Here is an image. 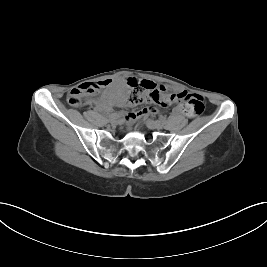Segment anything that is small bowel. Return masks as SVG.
<instances>
[{"label": "small bowel", "mask_w": 267, "mask_h": 267, "mask_svg": "<svg viewBox=\"0 0 267 267\" xmlns=\"http://www.w3.org/2000/svg\"><path fill=\"white\" fill-rule=\"evenodd\" d=\"M83 85V84H82ZM90 89H99L102 86L108 85V81H99V82H93L88 84ZM185 91H178L174 96L175 99L173 103H178L179 100H181V95ZM124 92L123 91H115L108 97L102 98L100 101H90V104L93 105L98 110L103 111H109L111 108V105H117V106H124ZM183 105L178 104V106L175 108V112H182ZM155 113V109L152 107L144 108L138 112H130L126 113L124 115V119L128 122L134 121L136 118L139 117H145L149 114Z\"/></svg>", "instance_id": "c3829d8e"}]
</instances>
